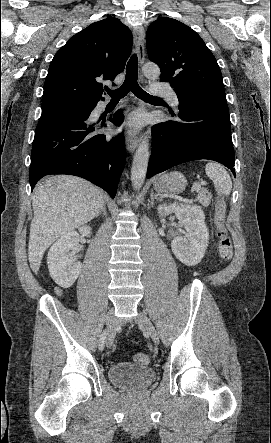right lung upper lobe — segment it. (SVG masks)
<instances>
[{"instance_id":"1","label":"right lung upper lobe","mask_w":271,"mask_h":443,"mask_svg":"<svg viewBox=\"0 0 271 443\" xmlns=\"http://www.w3.org/2000/svg\"><path fill=\"white\" fill-rule=\"evenodd\" d=\"M132 41L130 29L114 17L95 22L71 37L50 63L42 104L104 100L103 86L97 80L113 81L124 70Z\"/></svg>"}]
</instances>
